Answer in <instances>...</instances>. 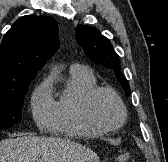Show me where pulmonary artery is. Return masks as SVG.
<instances>
[{"instance_id":"pulmonary-artery-1","label":"pulmonary artery","mask_w":168,"mask_h":162,"mask_svg":"<svg viewBox=\"0 0 168 162\" xmlns=\"http://www.w3.org/2000/svg\"><path fill=\"white\" fill-rule=\"evenodd\" d=\"M84 67L81 65H73L71 69H83Z\"/></svg>"}]
</instances>
